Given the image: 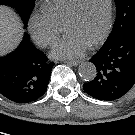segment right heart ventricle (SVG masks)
Returning a JSON list of instances; mask_svg holds the SVG:
<instances>
[{
    "instance_id": "e07e8e85",
    "label": "right heart ventricle",
    "mask_w": 135,
    "mask_h": 135,
    "mask_svg": "<svg viewBox=\"0 0 135 135\" xmlns=\"http://www.w3.org/2000/svg\"><path fill=\"white\" fill-rule=\"evenodd\" d=\"M77 0H46L43 11L58 26L64 24Z\"/></svg>"
}]
</instances>
